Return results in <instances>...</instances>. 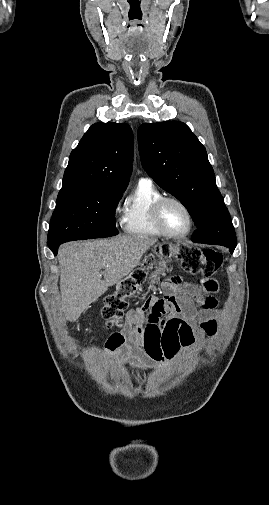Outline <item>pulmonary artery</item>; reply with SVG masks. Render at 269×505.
Returning a JSON list of instances; mask_svg holds the SVG:
<instances>
[{
	"mask_svg": "<svg viewBox=\"0 0 269 505\" xmlns=\"http://www.w3.org/2000/svg\"><path fill=\"white\" fill-rule=\"evenodd\" d=\"M140 181H148V182H151V179L148 178V177H145V178H141Z\"/></svg>",
	"mask_w": 269,
	"mask_h": 505,
	"instance_id": "e3ab8cb5",
	"label": "pulmonary artery"
}]
</instances>
